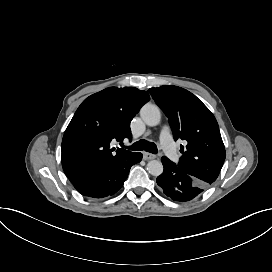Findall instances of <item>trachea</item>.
Listing matches in <instances>:
<instances>
[{
	"instance_id": "3493384b",
	"label": "trachea",
	"mask_w": 272,
	"mask_h": 272,
	"mask_svg": "<svg viewBox=\"0 0 272 272\" xmlns=\"http://www.w3.org/2000/svg\"><path fill=\"white\" fill-rule=\"evenodd\" d=\"M130 150H136V151H141L145 150L147 152L156 154L157 153V146L153 142L146 141L144 139H141L131 146L128 147Z\"/></svg>"
}]
</instances>
